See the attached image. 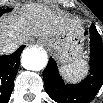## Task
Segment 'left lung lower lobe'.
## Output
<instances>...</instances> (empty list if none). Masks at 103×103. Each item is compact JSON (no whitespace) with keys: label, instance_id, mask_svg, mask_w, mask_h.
<instances>
[{"label":"left lung lower lobe","instance_id":"1","mask_svg":"<svg viewBox=\"0 0 103 103\" xmlns=\"http://www.w3.org/2000/svg\"><path fill=\"white\" fill-rule=\"evenodd\" d=\"M45 89L58 103H89L103 84V47L96 27H90V75L81 83L65 84L50 58L43 73Z\"/></svg>","mask_w":103,"mask_h":103}]
</instances>
